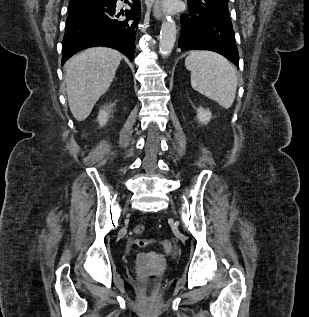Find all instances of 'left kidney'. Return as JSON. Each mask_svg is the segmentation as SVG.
Wrapping results in <instances>:
<instances>
[{"instance_id": "obj_1", "label": "left kidney", "mask_w": 309, "mask_h": 317, "mask_svg": "<svg viewBox=\"0 0 309 317\" xmlns=\"http://www.w3.org/2000/svg\"><path fill=\"white\" fill-rule=\"evenodd\" d=\"M211 116L209 110L203 109L202 107L197 109V118L200 123L207 124L211 120Z\"/></svg>"}]
</instances>
